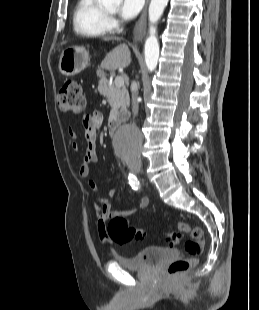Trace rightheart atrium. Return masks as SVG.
I'll list each match as a JSON object with an SVG mask.
<instances>
[{
    "label": "right heart atrium",
    "mask_w": 259,
    "mask_h": 310,
    "mask_svg": "<svg viewBox=\"0 0 259 310\" xmlns=\"http://www.w3.org/2000/svg\"><path fill=\"white\" fill-rule=\"evenodd\" d=\"M108 24L110 29H114L117 26V21L114 17L110 16L108 17Z\"/></svg>",
    "instance_id": "right-heart-atrium-1"
}]
</instances>
